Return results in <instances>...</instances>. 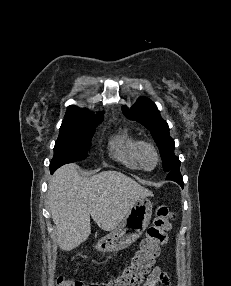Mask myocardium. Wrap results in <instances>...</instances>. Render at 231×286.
Instances as JSON below:
<instances>
[{
  "label": "myocardium",
  "instance_id": "f54148a6",
  "mask_svg": "<svg viewBox=\"0 0 231 286\" xmlns=\"http://www.w3.org/2000/svg\"><path fill=\"white\" fill-rule=\"evenodd\" d=\"M147 153H152L155 158V163L153 167L151 168L147 167L145 164V157ZM138 161H139L140 167L144 170L149 171V170H153L154 168H156L160 162V154H159L157 147L153 143H150L147 141H141L139 148H138Z\"/></svg>",
  "mask_w": 231,
  "mask_h": 286
}]
</instances>
